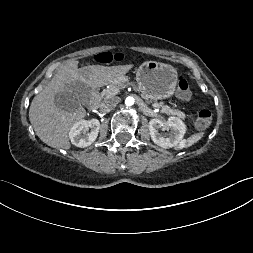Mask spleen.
<instances>
[{
    "label": "spleen",
    "instance_id": "obj_1",
    "mask_svg": "<svg viewBox=\"0 0 253 253\" xmlns=\"http://www.w3.org/2000/svg\"><path fill=\"white\" fill-rule=\"evenodd\" d=\"M203 135L204 133H197L189 137L187 140H182L179 144V148H185L193 145L194 143L198 142Z\"/></svg>",
    "mask_w": 253,
    "mask_h": 253
}]
</instances>
